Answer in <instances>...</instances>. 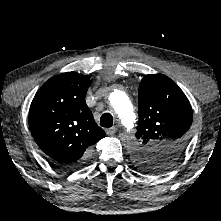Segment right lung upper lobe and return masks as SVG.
Segmentation results:
<instances>
[{
    "mask_svg": "<svg viewBox=\"0 0 221 221\" xmlns=\"http://www.w3.org/2000/svg\"><path fill=\"white\" fill-rule=\"evenodd\" d=\"M91 82L90 76L76 72L56 75L42 85L31 103V133L55 163L85 161L91 146L106 135L85 102Z\"/></svg>",
    "mask_w": 221,
    "mask_h": 221,
    "instance_id": "cb5924a9",
    "label": "right lung upper lobe"
}]
</instances>
